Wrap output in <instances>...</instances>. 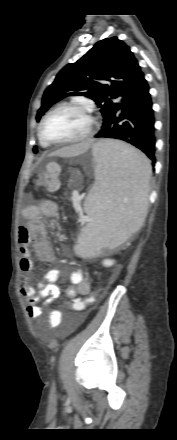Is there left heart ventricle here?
I'll use <instances>...</instances> for the list:
<instances>
[{"label": "left heart ventricle", "mask_w": 177, "mask_h": 440, "mask_svg": "<svg viewBox=\"0 0 177 440\" xmlns=\"http://www.w3.org/2000/svg\"><path fill=\"white\" fill-rule=\"evenodd\" d=\"M90 126L88 116L79 110L65 109L52 115L44 127V135L52 141L78 138Z\"/></svg>", "instance_id": "left-heart-ventricle-1"}]
</instances>
